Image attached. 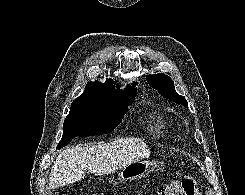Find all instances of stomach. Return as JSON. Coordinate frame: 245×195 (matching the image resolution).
Listing matches in <instances>:
<instances>
[{"mask_svg": "<svg viewBox=\"0 0 245 195\" xmlns=\"http://www.w3.org/2000/svg\"><path fill=\"white\" fill-rule=\"evenodd\" d=\"M159 166L155 161L137 160L122 168L118 173V180L121 182L140 179L148 175L152 170H158Z\"/></svg>", "mask_w": 245, "mask_h": 195, "instance_id": "obj_1", "label": "stomach"}]
</instances>
